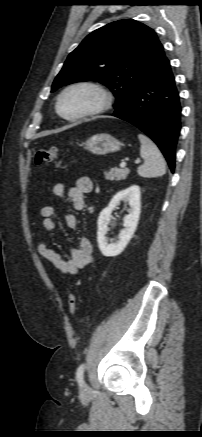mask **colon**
Segmentation results:
<instances>
[{"mask_svg": "<svg viewBox=\"0 0 202 437\" xmlns=\"http://www.w3.org/2000/svg\"><path fill=\"white\" fill-rule=\"evenodd\" d=\"M58 157V149L56 147L40 148L35 155V163L37 165L43 163H49L54 161ZM78 299L75 294H70L68 299V308L71 314H74L77 310Z\"/></svg>", "mask_w": 202, "mask_h": 437, "instance_id": "1", "label": "colon"}]
</instances>
